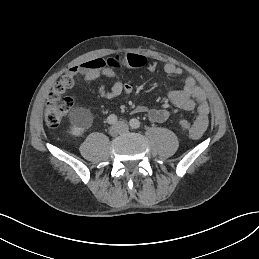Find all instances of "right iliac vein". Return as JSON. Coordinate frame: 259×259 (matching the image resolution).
Masks as SVG:
<instances>
[{
	"mask_svg": "<svg viewBox=\"0 0 259 259\" xmlns=\"http://www.w3.org/2000/svg\"><path fill=\"white\" fill-rule=\"evenodd\" d=\"M109 134H110L112 137H116L117 135L120 134V128H119L117 125L112 126V127L109 129Z\"/></svg>",
	"mask_w": 259,
	"mask_h": 259,
	"instance_id": "1",
	"label": "right iliac vein"
}]
</instances>
